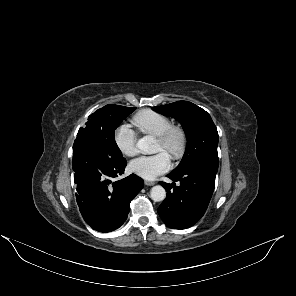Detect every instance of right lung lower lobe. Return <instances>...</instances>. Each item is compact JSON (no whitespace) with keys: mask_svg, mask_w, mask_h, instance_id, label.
<instances>
[{"mask_svg":"<svg viewBox=\"0 0 296 296\" xmlns=\"http://www.w3.org/2000/svg\"><path fill=\"white\" fill-rule=\"evenodd\" d=\"M72 165L76 199L84 220L99 232L119 228L144 181L131 174L113 182V178L124 173L126 160L113 158L108 150L87 140H75Z\"/></svg>","mask_w":296,"mask_h":296,"instance_id":"obj_1","label":"right lung lower lobe"}]
</instances>
